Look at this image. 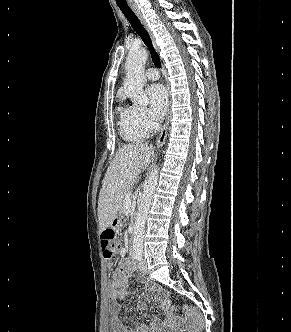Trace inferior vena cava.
I'll return each mask as SVG.
<instances>
[{"label": "inferior vena cava", "mask_w": 291, "mask_h": 332, "mask_svg": "<svg viewBox=\"0 0 291 332\" xmlns=\"http://www.w3.org/2000/svg\"><path fill=\"white\" fill-rule=\"evenodd\" d=\"M155 127H156L157 129H160L161 126H160V124L157 123V124L155 125Z\"/></svg>", "instance_id": "602c4592"}]
</instances>
